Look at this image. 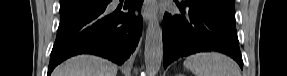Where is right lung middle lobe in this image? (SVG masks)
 Returning a JSON list of instances; mask_svg holds the SVG:
<instances>
[{"label":"right lung middle lobe","mask_w":287,"mask_h":76,"mask_svg":"<svg viewBox=\"0 0 287 76\" xmlns=\"http://www.w3.org/2000/svg\"><path fill=\"white\" fill-rule=\"evenodd\" d=\"M98 0H60V20H68L85 10L95 7Z\"/></svg>","instance_id":"1"}]
</instances>
